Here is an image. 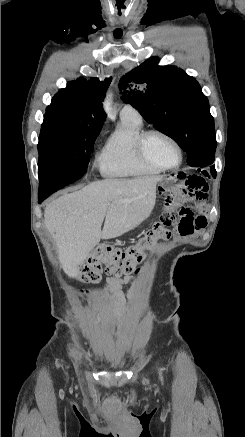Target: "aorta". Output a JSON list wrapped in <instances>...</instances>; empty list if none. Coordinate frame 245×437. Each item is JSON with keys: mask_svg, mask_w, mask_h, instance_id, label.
Masks as SVG:
<instances>
[{"mask_svg": "<svg viewBox=\"0 0 245 437\" xmlns=\"http://www.w3.org/2000/svg\"><path fill=\"white\" fill-rule=\"evenodd\" d=\"M110 98H111V95L108 94L107 98H106V100L104 102V110L108 114V117L111 120H115V115H113V113H112L111 99Z\"/></svg>", "mask_w": 245, "mask_h": 437, "instance_id": "762f6f07", "label": "aorta"}]
</instances>
